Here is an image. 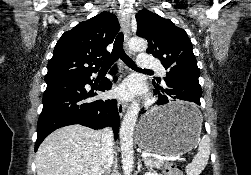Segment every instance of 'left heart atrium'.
<instances>
[{
  "label": "left heart atrium",
  "instance_id": "39dd6f15",
  "mask_svg": "<svg viewBox=\"0 0 251 175\" xmlns=\"http://www.w3.org/2000/svg\"><path fill=\"white\" fill-rule=\"evenodd\" d=\"M141 92V84L131 79L125 80L114 90V94L123 99H129Z\"/></svg>",
  "mask_w": 251,
  "mask_h": 175
}]
</instances>
